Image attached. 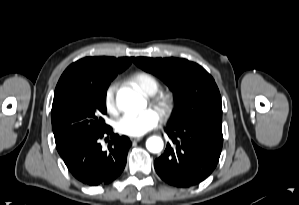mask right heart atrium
Wrapping results in <instances>:
<instances>
[{"mask_svg": "<svg viewBox=\"0 0 299 205\" xmlns=\"http://www.w3.org/2000/svg\"><path fill=\"white\" fill-rule=\"evenodd\" d=\"M116 89L117 86L115 83H111L105 90L104 93V106L106 110L115 114L117 112V103H116Z\"/></svg>", "mask_w": 299, "mask_h": 205, "instance_id": "obj_1", "label": "right heart atrium"}]
</instances>
